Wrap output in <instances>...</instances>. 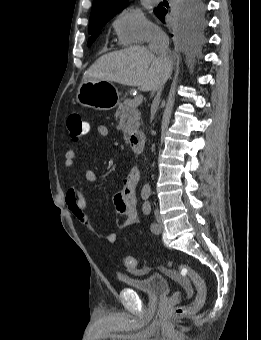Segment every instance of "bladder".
<instances>
[{
	"mask_svg": "<svg viewBox=\"0 0 261 340\" xmlns=\"http://www.w3.org/2000/svg\"><path fill=\"white\" fill-rule=\"evenodd\" d=\"M118 280L127 287L154 298L167 297L170 293L171 283L160 274L140 278L119 275Z\"/></svg>",
	"mask_w": 261,
	"mask_h": 340,
	"instance_id": "obj_1",
	"label": "bladder"
}]
</instances>
